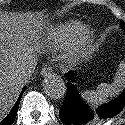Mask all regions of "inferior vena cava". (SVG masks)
Masks as SVG:
<instances>
[{
    "label": "inferior vena cava",
    "instance_id": "602c4592",
    "mask_svg": "<svg viewBox=\"0 0 125 125\" xmlns=\"http://www.w3.org/2000/svg\"><path fill=\"white\" fill-rule=\"evenodd\" d=\"M35 66H36L35 59H29L28 62H24V67L19 72V79L23 82L26 81L29 78V76L31 75Z\"/></svg>",
    "mask_w": 125,
    "mask_h": 125
}]
</instances>
